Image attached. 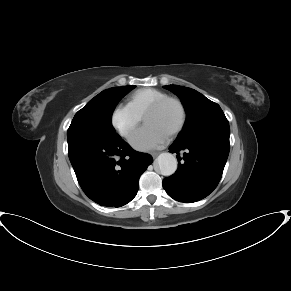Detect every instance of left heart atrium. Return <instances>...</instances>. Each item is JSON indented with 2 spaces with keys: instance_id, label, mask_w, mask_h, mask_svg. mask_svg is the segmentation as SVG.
I'll list each match as a JSON object with an SVG mask.
<instances>
[{
  "instance_id": "left-heart-atrium-1",
  "label": "left heart atrium",
  "mask_w": 291,
  "mask_h": 291,
  "mask_svg": "<svg viewBox=\"0 0 291 291\" xmlns=\"http://www.w3.org/2000/svg\"><path fill=\"white\" fill-rule=\"evenodd\" d=\"M168 138L169 134L150 124H145L134 132L130 138V143L138 150L148 151L162 147Z\"/></svg>"
}]
</instances>
